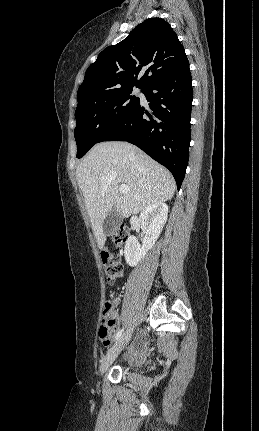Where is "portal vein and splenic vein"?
<instances>
[{
    "instance_id": "1",
    "label": "portal vein and splenic vein",
    "mask_w": 259,
    "mask_h": 431,
    "mask_svg": "<svg viewBox=\"0 0 259 431\" xmlns=\"http://www.w3.org/2000/svg\"><path fill=\"white\" fill-rule=\"evenodd\" d=\"M129 189H130V188H129L127 185H125V184H121V185H119V191H120L121 193H126Z\"/></svg>"
}]
</instances>
